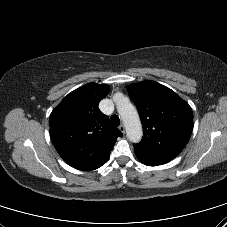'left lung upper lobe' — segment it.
Wrapping results in <instances>:
<instances>
[{
	"label": "left lung upper lobe",
	"mask_w": 227,
	"mask_h": 227,
	"mask_svg": "<svg viewBox=\"0 0 227 227\" xmlns=\"http://www.w3.org/2000/svg\"><path fill=\"white\" fill-rule=\"evenodd\" d=\"M127 91L139 112L144 134L134 149L146 157L174 159L193 130L191 107L174 91L155 81L132 84Z\"/></svg>",
	"instance_id": "left-lung-upper-lobe-1"
}]
</instances>
